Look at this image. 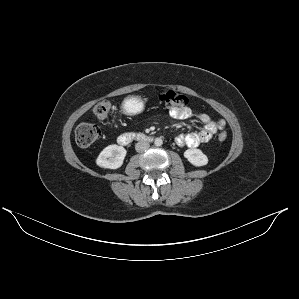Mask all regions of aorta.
<instances>
[{
  "mask_svg": "<svg viewBox=\"0 0 299 299\" xmlns=\"http://www.w3.org/2000/svg\"><path fill=\"white\" fill-rule=\"evenodd\" d=\"M163 144V140L161 138H155L154 145L159 147Z\"/></svg>",
  "mask_w": 299,
  "mask_h": 299,
  "instance_id": "aorta-1",
  "label": "aorta"
}]
</instances>
